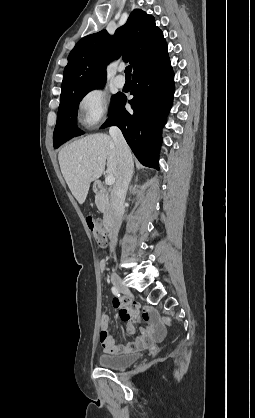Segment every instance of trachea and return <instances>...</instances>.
<instances>
[{
  "label": "trachea",
  "instance_id": "3493384b",
  "mask_svg": "<svg viewBox=\"0 0 255 418\" xmlns=\"http://www.w3.org/2000/svg\"><path fill=\"white\" fill-rule=\"evenodd\" d=\"M131 72H132V67H131V66H127V67L125 68V75H126L127 77H131Z\"/></svg>",
  "mask_w": 255,
  "mask_h": 418
}]
</instances>
